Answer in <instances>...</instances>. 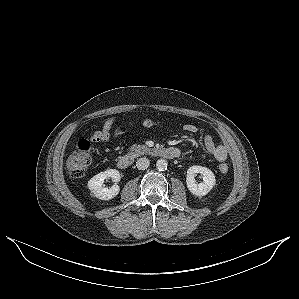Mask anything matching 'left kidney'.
Returning a JSON list of instances; mask_svg holds the SVG:
<instances>
[{
  "label": "left kidney",
  "instance_id": "5707ae66",
  "mask_svg": "<svg viewBox=\"0 0 299 299\" xmlns=\"http://www.w3.org/2000/svg\"><path fill=\"white\" fill-rule=\"evenodd\" d=\"M200 173L203 177V182L196 183L195 175ZM216 179L214 173L202 166H191L187 170L186 184L188 190L196 196H204L210 192L215 186Z\"/></svg>",
  "mask_w": 299,
  "mask_h": 299
}]
</instances>
